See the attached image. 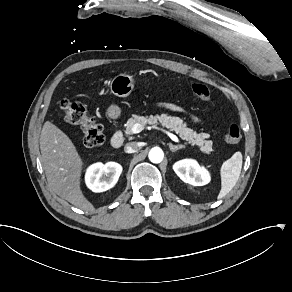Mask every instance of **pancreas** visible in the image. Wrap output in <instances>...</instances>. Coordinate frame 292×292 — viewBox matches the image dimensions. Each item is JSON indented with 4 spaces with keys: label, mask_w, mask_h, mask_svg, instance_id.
<instances>
[{
    "label": "pancreas",
    "mask_w": 292,
    "mask_h": 292,
    "mask_svg": "<svg viewBox=\"0 0 292 292\" xmlns=\"http://www.w3.org/2000/svg\"><path fill=\"white\" fill-rule=\"evenodd\" d=\"M161 124L163 127L170 128L179 134L180 138L188 141L191 145H197L200 147V150L204 153L209 154L212 151L211 140H205L209 137L206 133H196L190 128H187L186 123L183 122L179 117L168 116L167 114L161 115H150L147 117L133 115L132 118H129L126 123V134H133L132 128L135 124H140L144 128L147 124L153 125L154 127L158 124Z\"/></svg>",
    "instance_id": "pancreas-1"
}]
</instances>
